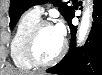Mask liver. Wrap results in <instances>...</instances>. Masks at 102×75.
<instances>
[{"mask_svg":"<svg viewBox=\"0 0 102 75\" xmlns=\"http://www.w3.org/2000/svg\"><path fill=\"white\" fill-rule=\"evenodd\" d=\"M6 75H31V74H27L23 71H18V70H9L6 72Z\"/></svg>","mask_w":102,"mask_h":75,"instance_id":"6515ba94","label":"liver"}]
</instances>
